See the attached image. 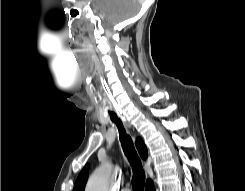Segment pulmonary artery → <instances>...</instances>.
Here are the masks:
<instances>
[{
	"label": "pulmonary artery",
	"mask_w": 245,
	"mask_h": 191,
	"mask_svg": "<svg viewBox=\"0 0 245 191\" xmlns=\"http://www.w3.org/2000/svg\"><path fill=\"white\" fill-rule=\"evenodd\" d=\"M122 191H131L129 188H125Z\"/></svg>",
	"instance_id": "e3ab8cb5"
}]
</instances>
